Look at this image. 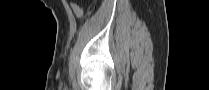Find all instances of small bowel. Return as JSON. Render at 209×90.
<instances>
[{
	"label": "small bowel",
	"instance_id": "obj_1",
	"mask_svg": "<svg viewBox=\"0 0 209 90\" xmlns=\"http://www.w3.org/2000/svg\"><path fill=\"white\" fill-rule=\"evenodd\" d=\"M71 8H72V11L74 12V14L77 17H81L82 16V9L76 3L71 2Z\"/></svg>",
	"mask_w": 209,
	"mask_h": 90
}]
</instances>
